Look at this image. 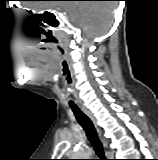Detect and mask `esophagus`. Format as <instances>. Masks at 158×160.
<instances>
[{
    "label": "esophagus",
    "instance_id": "34e87169",
    "mask_svg": "<svg viewBox=\"0 0 158 160\" xmlns=\"http://www.w3.org/2000/svg\"><path fill=\"white\" fill-rule=\"evenodd\" d=\"M81 108H82L83 112L91 119V121L93 122L94 126L96 127V129L99 133V136L102 138V132H101L100 128L97 126V121H96V118L94 117V115L86 108H84V107H81ZM102 141L104 142L103 138H102ZM104 144H105V142H104Z\"/></svg>",
    "mask_w": 158,
    "mask_h": 160
}]
</instances>
